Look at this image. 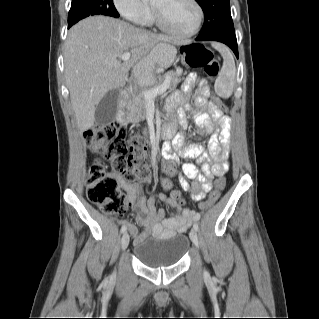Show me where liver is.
I'll return each instance as SVG.
<instances>
[{"mask_svg": "<svg viewBox=\"0 0 319 319\" xmlns=\"http://www.w3.org/2000/svg\"><path fill=\"white\" fill-rule=\"evenodd\" d=\"M172 39L105 16L88 17L68 32L64 50L65 78L80 132L95 122V107L113 89L125 86L135 63L148 64L159 42ZM131 58H118L127 50Z\"/></svg>", "mask_w": 319, "mask_h": 319, "instance_id": "liver-1", "label": "liver"}]
</instances>
